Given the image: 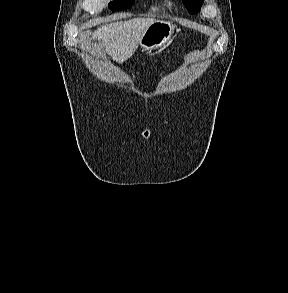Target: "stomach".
Segmentation results:
<instances>
[{"instance_id":"1","label":"stomach","mask_w":288,"mask_h":293,"mask_svg":"<svg viewBox=\"0 0 288 293\" xmlns=\"http://www.w3.org/2000/svg\"><path fill=\"white\" fill-rule=\"evenodd\" d=\"M175 26L165 20H155L145 31L139 42L143 51L162 50L173 37Z\"/></svg>"}]
</instances>
